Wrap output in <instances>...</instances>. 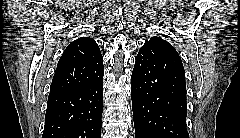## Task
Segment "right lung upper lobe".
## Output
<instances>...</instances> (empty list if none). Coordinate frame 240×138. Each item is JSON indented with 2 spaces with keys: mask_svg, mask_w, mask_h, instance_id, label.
Returning <instances> with one entry per match:
<instances>
[{
  "mask_svg": "<svg viewBox=\"0 0 240 138\" xmlns=\"http://www.w3.org/2000/svg\"><path fill=\"white\" fill-rule=\"evenodd\" d=\"M103 74V57L98 45L90 37H80L71 42L63 52L49 96L92 84Z\"/></svg>",
  "mask_w": 240,
  "mask_h": 138,
  "instance_id": "right-lung-upper-lobe-1",
  "label": "right lung upper lobe"
}]
</instances>
